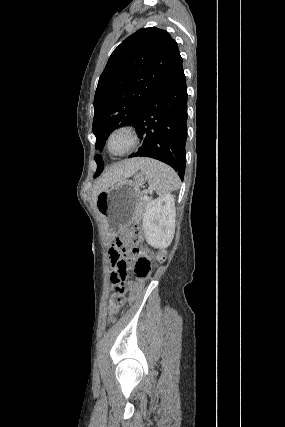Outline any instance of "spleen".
I'll use <instances>...</instances> for the list:
<instances>
[{
	"label": "spleen",
	"instance_id": "spleen-1",
	"mask_svg": "<svg viewBox=\"0 0 285 427\" xmlns=\"http://www.w3.org/2000/svg\"><path fill=\"white\" fill-rule=\"evenodd\" d=\"M141 172L145 175L150 187L160 196L168 195L180 186L176 172L170 166L157 160L146 159L141 166Z\"/></svg>",
	"mask_w": 285,
	"mask_h": 427
}]
</instances>
